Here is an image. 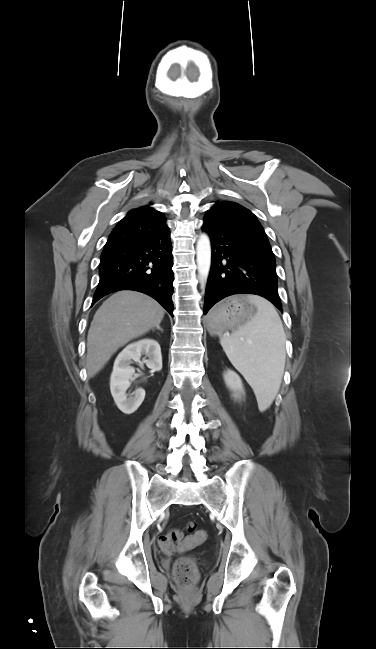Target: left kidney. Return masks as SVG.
Returning <instances> with one entry per match:
<instances>
[{
  "mask_svg": "<svg viewBox=\"0 0 376 649\" xmlns=\"http://www.w3.org/2000/svg\"><path fill=\"white\" fill-rule=\"evenodd\" d=\"M224 380L227 387L234 392V397L240 399L241 394H244V388L240 376L236 372L228 370L224 374Z\"/></svg>",
  "mask_w": 376,
  "mask_h": 649,
  "instance_id": "obj_1",
  "label": "left kidney"
}]
</instances>
